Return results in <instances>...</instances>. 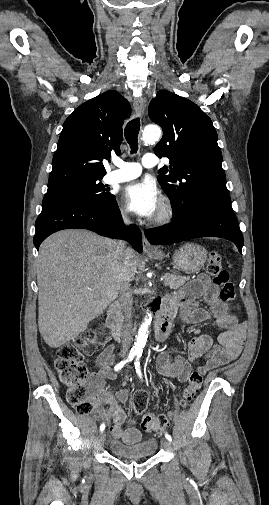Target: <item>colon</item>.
<instances>
[{
  "mask_svg": "<svg viewBox=\"0 0 269 505\" xmlns=\"http://www.w3.org/2000/svg\"><path fill=\"white\" fill-rule=\"evenodd\" d=\"M207 273L212 277L213 283L220 287V298L223 301L235 299V288L229 279L228 272L223 268V259L217 252H212L207 262ZM97 331L89 330L84 335L77 337L72 343L63 345L54 360V369L60 381L67 387L66 399L79 414H91L96 411V397L100 388L96 376H91L84 365L83 348L94 345ZM203 381V373L194 370L183 391L182 406L188 405L196 396ZM134 410L143 416L142 428L147 432L160 433L171 421L170 414L154 415L148 413V395L139 390L133 398Z\"/></svg>",
  "mask_w": 269,
  "mask_h": 505,
  "instance_id": "obj_1",
  "label": "colon"
}]
</instances>
